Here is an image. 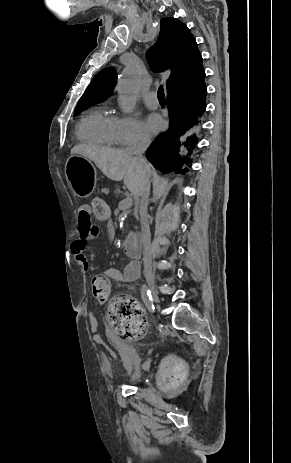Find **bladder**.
I'll use <instances>...</instances> for the list:
<instances>
[{
  "mask_svg": "<svg viewBox=\"0 0 291 463\" xmlns=\"http://www.w3.org/2000/svg\"><path fill=\"white\" fill-rule=\"evenodd\" d=\"M116 349L126 363L125 375L130 381H137L134 374L135 365L140 361L138 350L130 341L116 342Z\"/></svg>",
  "mask_w": 291,
  "mask_h": 463,
  "instance_id": "obj_1",
  "label": "bladder"
}]
</instances>
